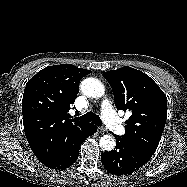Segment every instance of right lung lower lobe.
I'll return each mask as SVG.
<instances>
[{
  "instance_id": "obj_1",
  "label": "right lung lower lobe",
  "mask_w": 187,
  "mask_h": 187,
  "mask_svg": "<svg viewBox=\"0 0 187 187\" xmlns=\"http://www.w3.org/2000/svg\"><path fill=\"white\" fill-rule=\"evenodd\" d=\"M96 130H97V126L94 125L93 128H90L84 133L72 137L65 155L45 165L48 168H52V169H65L71 166L73 163H75V161L79 156L80 145L82 144V142L88 136L93 135L96 132Z\"/></svg>"
}]
</instances>
